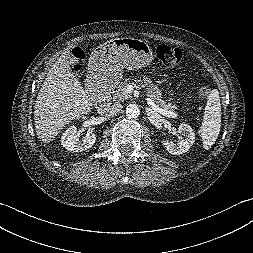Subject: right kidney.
Instances as JSON below:
<instances>
[{
    "label": "right kidney",
    "instance_id": "obj_1",
    "mask_svg": "<svg viewBox=\"0 0 253 253\" xmlns=\"http://www.w3.org/2000/svg\"><path fill=\"white\" fill-rule=\"evenodd\" d=\"M61 144L68 151L79 152L91 148L96 142V134H87L82 141H79L75 126L68 128L61 137Z\"/></svg>",
    "mask_w": 253,
    "mask_h": 253
}]
</instances>
